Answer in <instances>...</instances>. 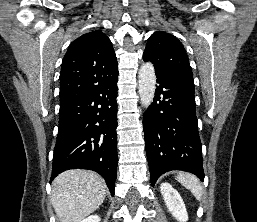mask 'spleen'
<instances>
[{"label": "spleen", "instance_id": "3e777b00", "mask_svg": "<svg viewBox=\"0 0 257 222\" xmlns=\"http://www.w3.org/2000/svg\"><path fill=\"white\" fill-rule=\"evenodd\" d=\"M177 181L180 182L186 189H189L194 197L200 201L202 198V186L197 179L192 174L189 173H179L176 177Z\"/></svg>", "mask_w": 257, "mask_h": 222}]
</instances>
